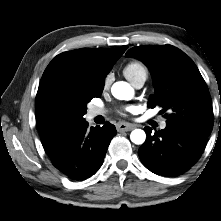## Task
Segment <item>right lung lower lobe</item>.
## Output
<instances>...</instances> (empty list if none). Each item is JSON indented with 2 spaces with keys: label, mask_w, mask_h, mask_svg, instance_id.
I'll return each mask as SVG.
<instances>
[{
  "label": "right lung lower lobe",
  "mask_w": 221,
  "mask_h": 221,
  "mask_svg": "<svg viewBox=\"0 0 221 221\" xmlns=\"http://www.w3.org/2000/svg\"><path fill=\"white\" fill-rule=\"evenodd\" d=\"M116 128L107 122L102 127H88L82 121L48 154L53 165L73 180H84L102 166Z\"/></svg>",
  "instance_id": "right-lung-lower-lobe-1"
}]
</instances>
